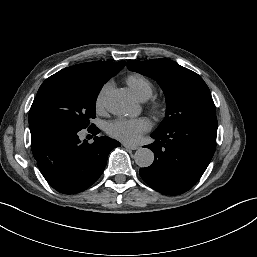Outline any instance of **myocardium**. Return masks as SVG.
Instances as JSON below:
<instances>
[{"instance_id": "obj_1", "label": "myocardium", "mask_w": 257, "mask_h": 257, "mask_svg": "<svg viewBox=\"0 0 257 257\" xmlns=\"http://www.w3.org/2000/svg\"><path fill=\"white\" fill-rule=\"evenodd\" d=\"M150 107H151V110H152L153 112L158 113L159 110H160V108H161V105H160V103L154 101V102L151 103V106H150Z\"/></svg>"}]
</instances>
